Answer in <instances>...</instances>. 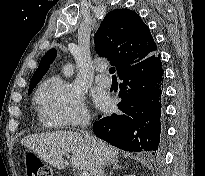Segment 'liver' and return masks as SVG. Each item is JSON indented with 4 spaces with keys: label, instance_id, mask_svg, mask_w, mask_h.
<instances>
[{
    "label": "liver",
    "instance_id": "obj_1",
    "mask_svg": "<svg viewBox=\"0 0 205 176\" xmlns=\"http://www.w3.org/2000/svg\"><path fill=\"white\" fill-rule=\"evenodd\" d=\"M95 140L104 165L118 162L119 150L117 148L99 139ZM21 144L60 170L65 168L63 155L71 153L70 163L73 168L86 171L90 176H96L97 158L95 151L78 133L56 131L28 135L22 138Z\"/></svg>",
    "mask_w": 205,
    "mask_h": 176
}]
</instances>
